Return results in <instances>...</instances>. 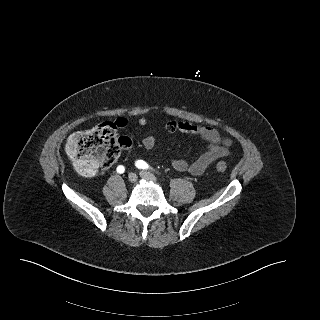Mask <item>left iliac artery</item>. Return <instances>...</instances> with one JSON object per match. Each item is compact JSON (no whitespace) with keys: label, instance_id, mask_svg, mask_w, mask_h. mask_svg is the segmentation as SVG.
Masks as SVG:
<instances>
[{"label":"left iliac artery","instance_id":"left-iliac-artery-1","mask_svg":"<svg viewBox=\"0 0 320 320\" xmlns=\"http://www.w3.org/2000/svg\"><path fill=\"white\" fill-rule=\"evenodd\" d=\"M135 164L138 168H142V169H149L150 168V166L143 160H138V161H136Z\"/></svg>","mask_w":320,"mask_h":320}]
</instances>
